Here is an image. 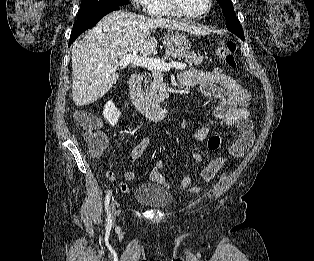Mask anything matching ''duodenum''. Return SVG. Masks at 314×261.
Segmentation results:
<instances>
[{
  "label": "duodenum",
  "mask_w": 314,
  "mask_h": 261,
  "mask_svg": "<svg viewBox=\"0 0 314 261\" xmlns=\"http://www.w3.org/2000/svg\"><path fill=\"white\" fill-rule=\"evenodd\" d=\"M142 77L135 74L129 81V96L132 106L141 112L145 117L153 121L166 119L172 111V104L159 105L144 99L142 90Z\"/></svg>",
  "instance_id": "duodenum-1"
}]
</instances>
